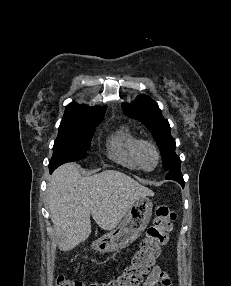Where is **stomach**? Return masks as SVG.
I'll list each match as a JSON object with an SVG mask.
<instances>
[{
	"mask_svg": "<svg viewBox=\"0 0 231 286\" xmlns=\"http://www.w3.org/2000/svg\"><path fill=\"white\" fill-rule=\"evenodd\" d=\"M152 208L153 203L149 198H139L118 227L94 241L92 247L101 253L125 249L136 241L148 226Z\"/></svg>",
	"mask_w": 231,
	"mask_h": 286,
	"instance_id": "0dacf381",
	"label": "stomach"
}]
</instances>
